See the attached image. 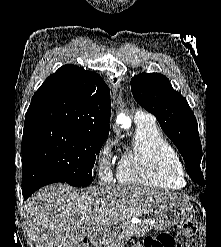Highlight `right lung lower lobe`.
Returning a JSON list of instances; mask_svg holds the SVG:
<instances>
[{
  "label": "right lung lower lobe",
  "instance_id": "obj_1",
  "mask_svg": "<svg viewBox=\"0 0 221 247\" xmlns=\"http://www.w3.org/2000/svg\"><path fill=\"white\" fill-rule=\"evenodd\" d=\"M22 170V193L25 200L45 185L65 183L59 176L32 161H22Z\"/></svg>",
  "mask_w": 221,
  "mask_h": 247
}]
</instances>
